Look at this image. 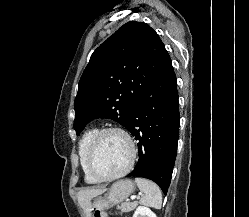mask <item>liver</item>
Instances as JSON below:
<instances>
[{
    "label": "liver",
    "mask_w": 249,
    "mask_h": 217,
    "mask_svg": "<svg viewBox=\"0 0 249 217\" xmlns=\"http://www.w3.org/2000/svg\"><path fill=\"white\" fill-rule=\"evenodd\" d=\"M105 189H87L78 193L77 198L80 206L86 213L87 217H90L91 212V199L102 194Z\"/></svg>",
    "instance_id": "6515ba94"
}]
</instances>
